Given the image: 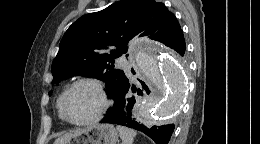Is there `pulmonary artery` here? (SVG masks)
Masks as SVG:
<instances>
[{"instance_id":"e3ab8cb5","label":"pulmonary artery","mask_w":260,"mask_h":144,"mask_svg":"<svg viewBox=\"0 0 260 144\" xmlns=\"http://www.w3.org/2000/svg\"><path fill=\"white\" fill-rule=\"evenodd\" d=\"M118 64L121 66V67H123L124 69H128V65L125 63V61L124 60H119L118 61Z\"/></svg>"}]
</instances>
